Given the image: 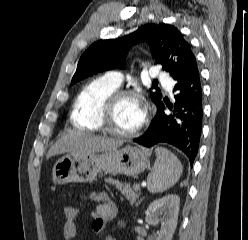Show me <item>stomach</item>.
Returning a JSON list of instances; mask_svg holds the SVG:
<instances>
[{"label": "stomach", "mask_w": 248, "mask_h": 240, "mask_svg": "<svg viewBox=\"0 0 248 240\" xmlns=\"http://www.w3.org/2000/svg\"><path fill=\"white\" fill-rule=\"evenodd\" d=\"M149 167V152L126 146L100 154H67L53 166L52 178L56 184L93 181L101 171L105 173L134 176Z\"/></svg>", "instance_id": "stomach-1"}]
</instances>
